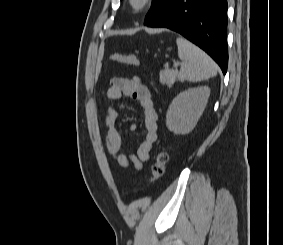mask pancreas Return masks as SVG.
I'll list each match as a JSON object with an SVG mask.
<instances>
[{
	"instance_id": "pancreas-1",
	"label": "pancreas",
	"mask_w": 283,
	"mask_h": 245,
	"mask_svg": "<svg viewBox=\"0 0 283 245\" xmlns=\"http://www.w3.org/2000/svg\"><path fill=\"white\" fill-rule=\"evenodd\" d=\"M178 72L176 70L164 69L160 72V82L169 87L176 81Z\"/></svg>"
}]
</instances>
